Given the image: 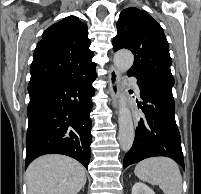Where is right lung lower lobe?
<instances>
[{"instance_id": "obj_1", "label": "right lung lower lobe", "mask_w": 201, "mask_h": 194, "mask_svg": "<svg viewBox=\"0 0 201 194\" xmlns=\"http://www.w3.org/2000/svg\"><path fill=\"white\" fill-rule=\"evenodd\" d=\"M95 78L93 70L71 80H39L28 84L25 168L35 158L50 153L70 156L88 167L92 139L89 115Z\"/></svg>"}]
</instances>
